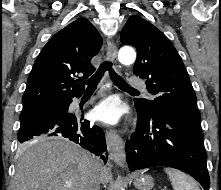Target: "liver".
<instances>
[{
	"label": "liver",
	"mask_w": 221,
	"mask_h": 190,
	"mask_svg": "<svg viewBox=\"0 0 221 190\" xmlns=\"http://www.w3.org/2000/svg\"><path fill=\"white\" fill-rule=\"evenodd\" d=\"M19 153L14 190H86L91 163L97 159L79 145L60 138H36L22 146ZM109 178V170L102 166L101 182L105 184Z\"/></svg>",
	"instance_id": "obj_1"
}]
</instances>
